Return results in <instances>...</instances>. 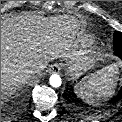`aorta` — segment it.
I'll use <instances>...</instances> for the list:
<instances>
[{"label": "aorta", "mask_w": 122, "mask_h": 122, "mask_svg": "<svg viewBox=\"0 0 122 122\" xmlns=\"http://www.w3.org/2000/svg\"><path fill=\"white\" fill-rule=\"evenodd\" d=\"M49 83L52 87L58 88L62 83L61 77L58 74H53L49 78Z\"/></svg>", "instance_id": "aorta-1"}]
</instances>
